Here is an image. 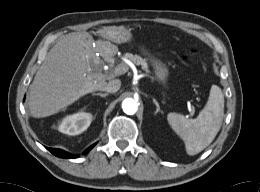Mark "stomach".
Returning <instances> with one entry per match:
<instances>
[{"label":"stomach","instance_id":"obj_1","mask_svg":"<svg viewBox=\"0 0 260 192\" xmlns=\"http://www.w3.org/2000/svg\"><path fill=\"white\" fill-rule=\"evenodd\" d=\"M111 40L115 43H126L132 40V34L126 28L116 27L111 30ZM140 52L146 56L153 68L156 75V78L161 82L165 89L168 88V77L169 70L166 65L161 62L159 59L155 58L148 49L144 46L139 47Z\"/></svg>","mask_w":260,"mask_h":192}]
</instances>
